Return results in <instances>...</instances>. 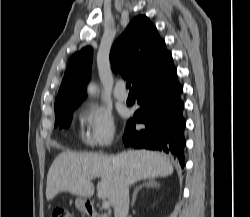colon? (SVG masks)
I'll return each instance as SVG.
<instances>
[{"mask_svg":"<svg viewBox=\"0 0 250 217\" xmlns=\"http://www.w3.org/2000/svg\"><path fill=\"white\" fill-rule=\"evenodd\" d=\"M52 217H73V214L65 207H56L52 212Z\"/></svg>","mask_w":250,"mask_h":217,"instance_id":"5ec220e1","label":"colon"}]
</instances>
